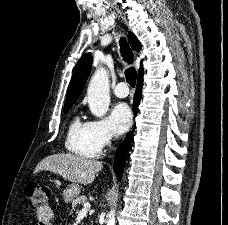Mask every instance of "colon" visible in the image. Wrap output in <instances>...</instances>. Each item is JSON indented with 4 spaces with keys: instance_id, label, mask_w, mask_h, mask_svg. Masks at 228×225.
<instances>
[{
    "instance_id": "1",
    "label": "colon",
    "mask_w": 228,
    "mask_h": 225,
    "mask_svg": "<svg viewBox=\"0 0 228 225\" xmlns=\"http://www.w3.org/2000/svg\"><path fill=\"white\" fill-rule=\"evenodd\" d=\"M25 195L36 212L45 211V208H48L49 192L45 186L31 183L27 186Z\"/></svg>"
}]
</instances>
